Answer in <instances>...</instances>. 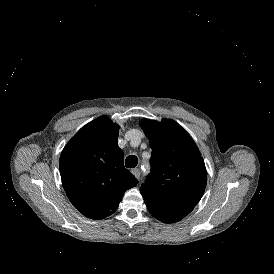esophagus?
Wrapping results in <instances>:
<instances>
[{"label":"esophagus","mask_w":274,"mask_h":274,"mask_svg":"<svg viewBox=\"0 0 274 274\" xmlns=\"http://www.w3.org/2000/svg\"><path fill=\"white\" fill-rule=\"evenodd\" d=\"M131 173L136 177V178H140L141 175V171L138 168L132 169Z\"/></svg>","instance_id":"esophagus-1"}]
</instances>
